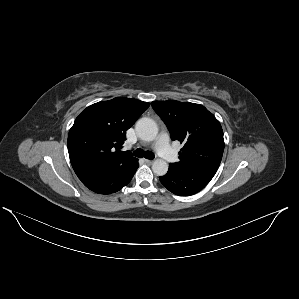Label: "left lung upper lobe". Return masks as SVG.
I'll use <instances>...</instances> for the list:
<instances>
[{
    "mask_svg": "<svg viewBox=\"0 0 299 299\" xmlns=\"http://www.w3.org/2000/svg\"><path fill=\"white\" fill-rule=\"evenodd\" d=\"M151 105L169 129L171 139L184 143L180 160L172 165L218 169L224 151L223 130L211 112L200 104L175 100L153 101Z\"/></svg>",
    "mask_w": 299,
    "mask_h": 299,
    "instance_id": "5c2ea615",
    "label": "left lung upper lobe"
}]
</instances>
